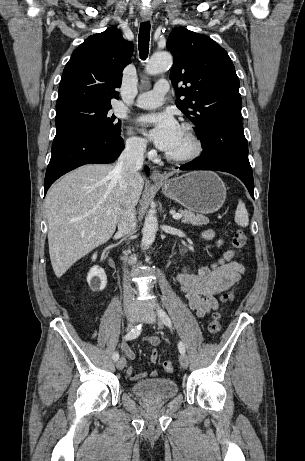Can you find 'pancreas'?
Instances as JSON below:
<instances>
[{
    "instance_id": "pancreas-1",
    "label": "pancreas",
    "mask_w": 305,
    "mask_h": 461,
    "mask_svg": "<svg viewBox=\"0 0 305 461\" xmlns=\"http://www.w3.org/2000/svg\"><path fill=\"white\" fill-rule=\"evenodd\" d=\"M180 214L182 215V223L192 224L193 226H202L209 223V219L201 214H194L189 210H180Z\"/></svg>"
}]
</instances>
